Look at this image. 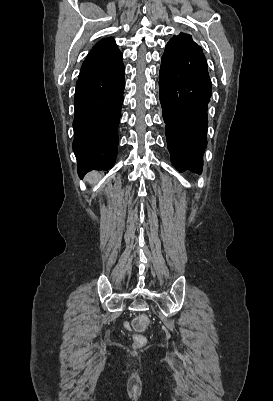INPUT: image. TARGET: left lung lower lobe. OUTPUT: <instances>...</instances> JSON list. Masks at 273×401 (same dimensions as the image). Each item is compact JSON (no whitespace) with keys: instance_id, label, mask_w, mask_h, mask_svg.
<instances>
[{"instance_id":"left-lung-lower-lobe-1","label":"left lung lower lobe","mask_w":273,"mask_h":401,"mask_svg":"<svg viewBox=\"0 0 273 401\" xmlns=\"http://www.w3.org/2000/svg\"><path fill=\"white\" fill-rule=\"evenodd\" d=\"M211 94L202 48L191 36L170 40L162 56L159 95L167 147L179 172H202Z\"/></svg>"}]
</instances>
